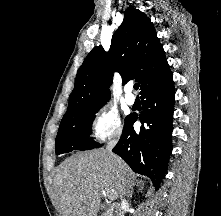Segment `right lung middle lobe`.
Here are the masks:
<instances>
[{
	"mask_svg": "<svg viewBox=\"0 0 221 216\" xmlns=\"http://www.w3.org/2000/svg\"><path fill=\"white\" fill-rule=\"evenodd\" d=\"M99 108H92L77 115L62 118L55 141L57 155L72 150H91L102 146L89 139L94 115Z\"/></svg>",
	"mask_w": 221,
	"mask_h": 216,
	"instance_id": "dd1d6c3e",
	"label": "right lung middle lobe"
}]
</instances>
